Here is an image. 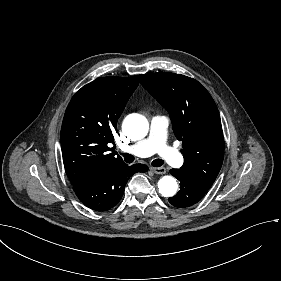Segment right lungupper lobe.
<instances>
[{
    "mask_svg": "<svg viewBox=\"0 0 281 281\" xmlns=\"http://www.w3.org/2000/svg\"><path fill=\"white\" fill-rule=\"evenodd\" d=\"M138 84V76L101 77L72 97L62 123L61 147L73 187L126 165L108 146L113 142L117 120Z\"/></svg>",
    "mask_w": 281,
    "mask_h": 281,
    "instance_id": "cb5924a9",
    "label": "right lung upper lobe"
}]
</instances>
